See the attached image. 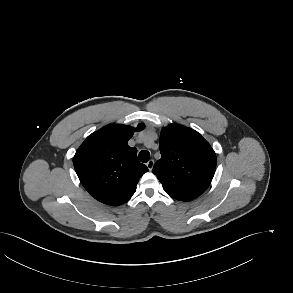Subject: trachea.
Returning <instances> with one entry per match:
<instances>
[{
	"mask_svg": "<svg viewBox=\"0 0 293 293\" xmlns=\"http://www.w3.org/2000/svg\"><path fill=\"white\" fill-rule=\"evenodd\" d=\"M150 158V153L146 150H142L140 153H139V159L142 163H146L148 162Z\"/></svg>",
	"mask_w": 293,
	"mask_h": 293,
	"instance_id": "obj_1",
	"label": "trachea"
}]
</instances>
